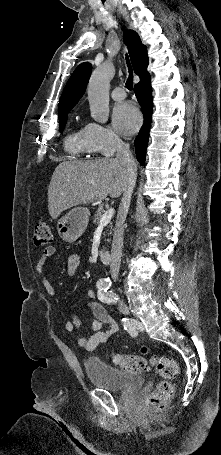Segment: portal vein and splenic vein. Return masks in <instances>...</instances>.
I'll list each match as a JSON object with an SVG mask.
<instances>
[{
    "instance_id": "obj_1",
    "label": "portal vein and splenic vein",
    "mask_w": 221,
    "mask_h": 455,
    "mask_svg": "<svg viewBox=\"0 0 221 455\" xmlns=\"http://www.w3.org/2000/svg\"><path fill=\"white\" fill-rule=\"evenodd\" d=\"M114 215V209L113 208H109L102 216V218L100 219V223H99V227H103L105 225H107L112 217Z\"/></svg>"
}]
</instances>
